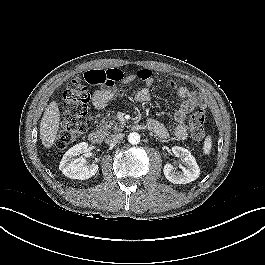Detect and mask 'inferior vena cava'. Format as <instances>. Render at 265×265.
Wrapping results in <instances>:
<instances>
[{"instance_id": "602c4592", "label": "inferior vena cava", "mask_w": 265, "mask_h": 265, "mask_svg": "<svg viewBox=\"0 0 265 265\" xmlns=\"http://www.w3.org/2000/svg\"><path fill=\"white\" fill-rule=\"evenodd\" d=\"M124 138V135L119 133V134H114L111 135L106 139V143L110 145H116L117 143H120Z\"/></svg>"}]
</instances>
